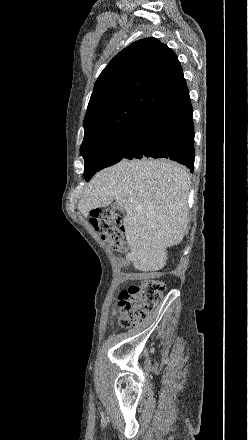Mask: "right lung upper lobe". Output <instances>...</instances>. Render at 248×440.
Instances as JSON below:
<instances>
[{
  "mask_svg": "<svg viewBox=\"0 0 248 440\" xmlns=\"http://www.w3.org/2000/svg\"><path fill=\"white\" fill-rule=\"evenodd\" d=\"M189 93L175 53L156 38L119 52L95 83L84 119L81 148L128 129L155 108Z\"/></svg>",
  "mask_w": 248,
  "mask_h": 440,
  "instance_id": "cb5924a9",
  "label": "right lung upper lobe"
}]
</instances>
